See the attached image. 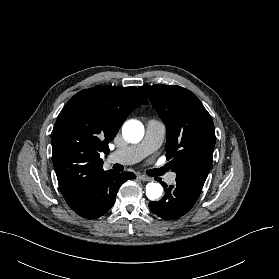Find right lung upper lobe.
<instances>
[{
    "mask_svg": "<svg viewBox=\"0 0 279 279\" xmlns=\"http://www.w3.org/2000/svg\"><path fill=\"white\" fill-rule=\"evenodd\" d=\"M147 98L136 87L96 86L75 94L51 133L53 165L61 193L73 210L105 172L100 152H108L126 117Z\"/></svg>",
    "mask_w": 279,
    "mask_h": 279,
    "instance_id": "obj_1",
    "label": "right lung upper lobe"
}]
</instances>
